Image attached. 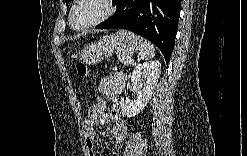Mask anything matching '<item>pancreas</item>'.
<instances>
[{
  "mask_svg": "<svg viewBox=\"0 0 247 156\" xmlns=\"http://www.w3.org/2000/svg\"><path fill=\"white\" fill-rule=\"evenodd\" d=\"M117 58L120 61V63L124 64V65H128L129 64V60H131V56L129 55H125L122 53H118L117 54Z\"/></svg>",
  "mask_w": 247,
  "mask_h": 156,
  "instance_id": "cf45deb5",
  "label": "pancreas"
}]
</instances>
